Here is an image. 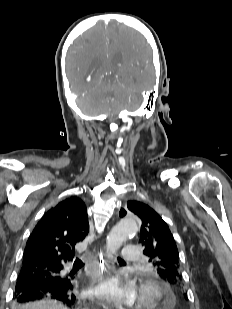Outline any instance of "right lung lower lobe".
Wrapping results in <instances>:
<instances>
[{
  "label": "right lung lower lobe",
  "instance_id": "obj_1",
  "mask_svg": "<svg viewBox=\"0 0 232 309\" xmlns=\"http://www.w3.org/2000/svg\"><path fill=\"white\" fill-rule=\"evenodd\" d=\"M62 268L55 270V279L49 282L44 279L51 272L48 270L39 271L33 263H23L20 273L32 274L37 278L27 280L18 276L14 292L15 302L22 304L43 298H52L62 301L68 306L73 305L76 297L73 293L72 280L69 277L58 275Z\"/></svg>",
  "mask_w": 232,
  "mask_h": 309
}]
</instances>
